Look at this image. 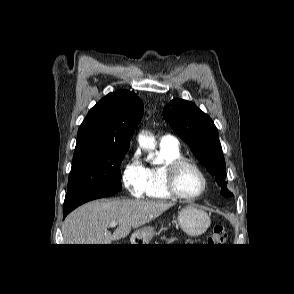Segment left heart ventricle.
<instances>
[{"instance_id":"left-heart-ventricle-1","label":"left heart ventricle","mask_w":294,"mask_h":294,"mask_svg":"<svg viewBox=\"0 0 294 294\" xmlns=\"http://www.w3.org/2000/svg\"><path fill=\"white\" fill-rule=\"evenodd\" d=\"M176 185L183 195L193 196L201 190L202 179L193 168L186 166L178 173Z\"/></svg>"}]
</instances>
